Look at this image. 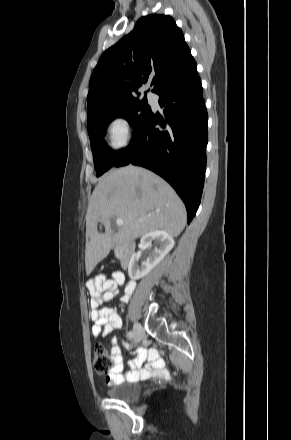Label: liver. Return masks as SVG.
Here are the masks:
<instances>
[{
  "instance_id": "obj_1",
  "label": "liver",
  "mask_w": 291,
  "mask_h": 440,
  "mask_svg": "<svg viewBox=\"0 0 291 440\" xmlns=\"http://www.w3.org/2000/svg\"><path fill=\"white\" fill-rule=\"evenodd\" d=\"M113 217L124 222L115 234ZM98 222L104 234L98 232ZM185 225V206L165 180L133 165L113 170L96 185L86 213V273L108 255L113 242L125 243L157 230L177 237Z\"/></svg>"
}]
</instances>
